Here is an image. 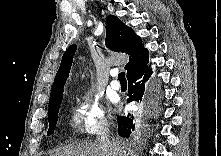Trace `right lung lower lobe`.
Here are the masks:
<instances>
[{"label": "right lung lower lobe", "mask_w": 221, "mask_h": 156, "mask_svg": "<svg viewBox=\"0 0 221 156\" xmlns=\"http://www.w3.org/2000/svg\"><path fill=\"white\" fill-rule=\"evenodd\" d=\"M152 75L150 65H145L132 71L128 76V102L150 100L152 104H156L155 97L148 91V80ZM118 134L122 137H129L131 130H134V117L128 114L127 116H118Z\"/></svg>", "instance_id": "1"}]
</instances>
